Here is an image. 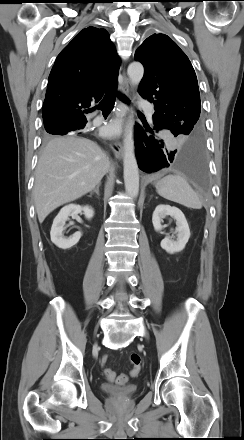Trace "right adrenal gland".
Wrapping results in <instances>:
<instances>
[{"mask_svg": "<svg viewBox=\"0 0 244 440\" xmlns=\"http://www.w3.org/2000/svg\"><path fill=\"white\" fill-rule=\"evenodd\" d=\"M101 186V183L97 184L96 188L90 192V196H92L94 193H96L98 196L99 194V187Z\"/></svg>", "mask_w": 244, "mask_h": 440, "instance_id": "obj_1", "label": "right adrenal gland"}]
</instances>
